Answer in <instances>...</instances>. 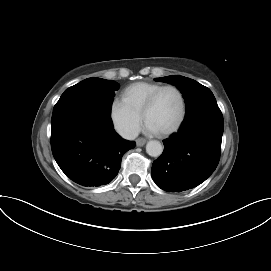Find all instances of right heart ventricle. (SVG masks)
<instances>
[{
    "instance_id": "right-heart-ventricle-1",
    "label": "right heart ventricle",
    "mask_w": 271,
    "mask_h": 271,
    "mask_svg": "<svg viewBox=\"0 0 271 271\" xmlns=\"http://www.w3.org/2000/svg\"><path fill=\"white\" fill-rule=\"evenodd\" d=\"M160 87L162 84L155 82H135L122 91V100L130 109L142 115L146 101Z\"/></svg>"
}]
</instances>
